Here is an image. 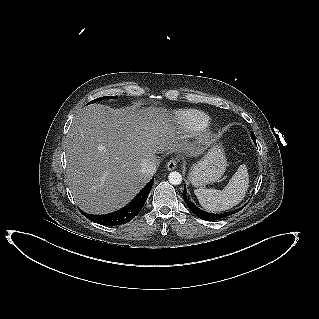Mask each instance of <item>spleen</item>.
Listing matches in <instances>:
<instances>
[{
	"label": "spleen",
	"mask_w": 319,
	"mask_h": 319,
	"mask_svg": "<svg viewBox=\"0 0 319 319\" xmlns=\"http://www.w3.org/2000/svg\"><path fill=\"white\" fill-rule=\"evenodd\" d=\"M249 187V174L245 164L239 166L223 190L195 189L194 193L203 208L211 212L224 211L239 204Z\"/></svg>",
	"instance_id": "3e777b00"
}]
</instances>
